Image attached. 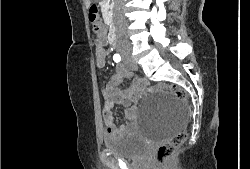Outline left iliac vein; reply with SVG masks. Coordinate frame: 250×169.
Returning <instances> with one entry per match:
<instances>
[{
  "mask_svg": "<svg viewBox=\"0 0 250 169\" xmlns=\"http://www.w3.org/2000/svg\"><path fill=\"white\" fill-rule=\"evenodd\" d=\"M127 66L130 70H137V64L133 60H130L127 63Z\"/></svg>",
  "mask_w": 250,
  "mask_h": 169,
  "instance_id": "left-iliac-vein-1",
  "label": "left iliac vein"
}]
</instances>
